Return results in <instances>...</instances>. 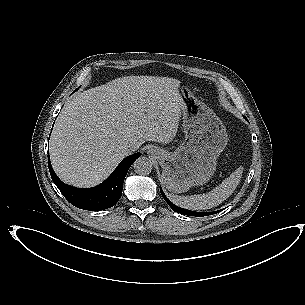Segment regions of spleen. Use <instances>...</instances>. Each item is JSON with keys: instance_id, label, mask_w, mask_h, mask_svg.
Wrapping results in <instances>:
<instances>
[{"instance_id": "3e777b00", "label": "spleen", "mask_w": 305, "mask_h": 305, "mask_svg": "<svg viewBox=\"0 0 305 305\" xmlns=\"http://www.w3.org/2000/svg\"><path fill=\"white\" fill-rule=\"evenodd\" d=\"M239 179L238 172H233L230 177L222 181V183L206 194H198L191 196H178L173 193L169 194L170 200L185 209L193 211H201L218 206L225 201L233 192V186Z\"/></svg>"}]
</instances>
